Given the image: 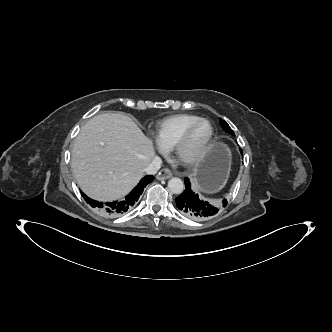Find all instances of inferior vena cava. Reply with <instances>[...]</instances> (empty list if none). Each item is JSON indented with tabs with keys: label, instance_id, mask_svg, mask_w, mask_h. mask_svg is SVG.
I'll return each instance as SVG.
<instances>
[{
	"label": "inferior vena cava",
	"instance_id": "obj_1",
	"mask_svg": "<svg viewBox=\"0 0 332 332\" xmlns=\"http://www.w3.org/2000/svg\"><path fill=\"white\" fill-rule=\"evenodd\" d=\"M162 164V160L160 157L155 156L149 165L145 168V172L150 175H154L157 173V171L160 169Z\"/></svg>",
	"mask_w": 332,
	"mask_h": 332
}]
</instances>
